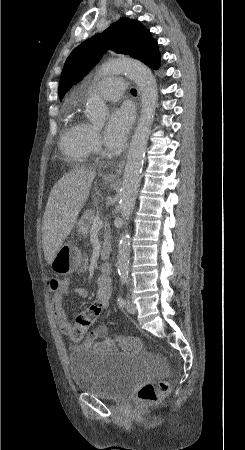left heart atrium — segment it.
Here are the masks:
<instances>
[{"instance_id":"39dd6f15","label":"left heart atrium","mask_w":245,"mask_h":450,"mask_svg":"<svg viewBox=\"0 0 245 450\" xmlns=\"http://www.w3.org/2000/svg\"><path fill=\"white\" fill-rule=\"evenodd\" d=\"M134 120L130 105L123 104L114 109L105 130V143L111 149H118L126 141Z\"/></svg>"}]
</instances>
